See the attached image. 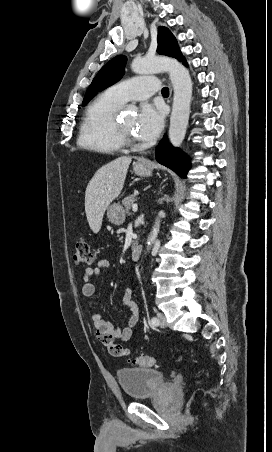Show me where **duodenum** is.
Listing matches in <instances>:
<instances>
[{
    "mask_svg": "<svg viewBox=\"0 0 272 452\" xmlns=\"http://www.w3.org/2000/svg\"><path fill=\"white\" fill-rule=\"evenodd\" d=\"M142 253V245L141 244H134L131 249V258L133 260H138Z\"/></svg>",
    "mask_w": 272,
    "mask_h": 452,
    "instance_id": "obj_1",
    "label": "duodenum"
}]
</instances>
